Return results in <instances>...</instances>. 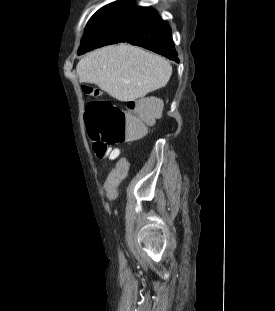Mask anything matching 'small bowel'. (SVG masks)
Returning <instances> with one entry per match:
<instances>
[{
	"mask_svg": "<svg viewBox=\"0 0 275 311\" xmlns=\"http://www.w3.org/2000/svg\"><path fill=\"white\" fill-rule=\"evenodd\" d=\"M119 151L117 150V154L112 157L115 158L116 156H118ZM129 161H130V156L129 155H120L119 156V160L117 161V166L119 167V169H110V180L109 183L110 185H117L118 180H126L127 176H132L133 171L132 169H127V166H124V162H126V165H129ZM109 184L106 186L108 189L111 187ZM109 201H116L117 196L116 194H109L108 196ZM112 212L116 211L115 207L111 208Z\"/></svg>",
	"mask_w": 275,
	"mask_h": 311,
	"instance_id": "small-bowel-1",
	"label": "small bowel"
}]
</instances>
